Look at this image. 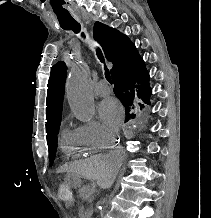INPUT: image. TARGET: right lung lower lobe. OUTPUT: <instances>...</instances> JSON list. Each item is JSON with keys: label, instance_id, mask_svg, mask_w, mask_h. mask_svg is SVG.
Segmentation results:
<instances>
[{"label": "right lung lower lobe", "instance_id": "98d812e1", "mask_svg": "<svg viewBox=\"0 0 211 218\" xmlns=\"http://www.w3.org/2000/svg\"><path fill=\"white\" fill-rule=\"evenodd\" d=\"M112 78L114 93L118 99L133 97L144 104H150L152 90L149 86V74L144 61L138 54L116 66L112 72Z\"/></svg>", "mask_w": 211, "mask_h": 218}]
</instances>
